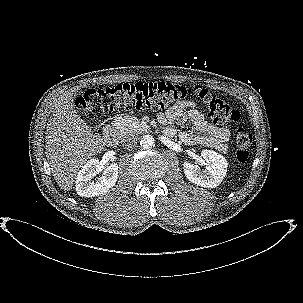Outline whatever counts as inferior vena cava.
<instances>
[{
	"label": "inferior vena cava",
	"mask_w": 303,
	"mask_h": 303,
	"mask_svg": "<svg viewBox=\"0 0 303 303\" xmlns=\"http://www.w3.org/2000/svg\"><path fill=\"white\" fill-rule=\"evenodd\" d=\"M137 137L135 135H132V134H128L126 135L122 142H123V145L126 147V148H133L134 146H136L137 144Z\"/></svg>",
	"instance_id": "1"
}]
</instances>
